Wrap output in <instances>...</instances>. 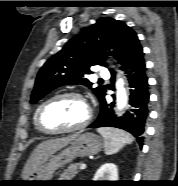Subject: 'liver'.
<instances>
[{
  "label": "liver",
  "mask_w": 178,
  "mask_h": 186,
  "mask_svg": "<svg viewBox=\"0 0 178 186\" xmlns=\"http://www.w3.org/2000/svg\"><path fill=\"white\" fill-rule=\"evenodd\" d=\"M77 136L78 134H73L67 137L49 139L37 145L23 168L22 178L27 179L52 154L67 146Z\"/></svg>",
  "instance_id": "liver-1"
}]
</instances>
